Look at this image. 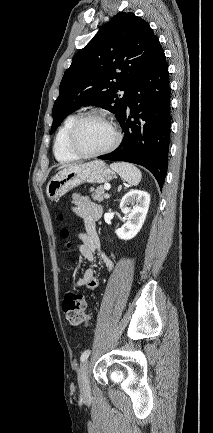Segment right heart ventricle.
Listing matches in <instances>:
<instances>
[{
  "mask_svg": "<svg viewBox=\"0 0 213 433\" xmlns=\"http://www.w3.org/2000/svg\"><path fill=\"white\" fill-rule=\"evenodd\" d=\"M77 118L78 116L74 114L68 116L56 135L54 142V155L60 162H71L79 158L70 150L68 145L69 131Z\"/></svg>",
  "mask_w": 213,
  "mask_h": 433,
  "instance_id": "1",
  "label": "right heart ventricle"
}]
</instances>
